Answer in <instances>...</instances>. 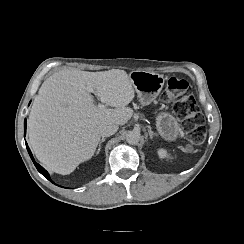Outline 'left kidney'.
Wrapping results in <instances>:
<instances>
[{
    "label": "left kidney",
    "instance_id": "5707ae66",
    "mask_svg": "<svg viewBox=\"0 0 244 244\" xmlns=\"http://www.w3.org/2000/svg\"><path fill=\"white\" fill-rule=\"evenodd\" d=\"M158 155L160 158H163L167 156V152L165 150H159Z\"/></svg>",
    "mask_w": 244,
    "mask_h": 244
}]
</instances>
